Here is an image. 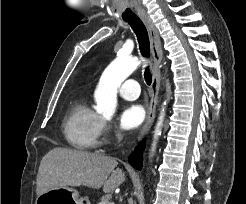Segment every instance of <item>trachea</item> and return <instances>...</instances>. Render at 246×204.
Listing matches in <instances>:
<instances>
[{"label":"trachea","instance_id":"trachea-1","mask_svg":"<svg viewBox=\"0 0 246 204\" xmlns=\"http://www.w3.org/2000/svg\"><path fill=\"white\" fill-rule=\"evenodd\" d=\"M125 21L129 23L137 36L142 56L145 58H149V38L145 25L138 17L127 19ZM144 78L147 85H150L152 83V77L148 66L145 68Z\"/></svg>","mask_w":246,"mask_h":204}]
</instances>
